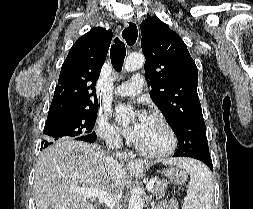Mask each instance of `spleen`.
Masks as SVG:
<instances>
[{"instance_id": "1", "label": "spleen", "mask_w": 253, "mask_h": 209, "mask_svg": "<svg viewBox=\"0 0 253 209\" xmlns=\"http://www.w3.org/2000/svg\"><path fill=\"white\" fill-rule=\"evenodd\" d=\"M163 164L179 166L190 175L182 209H212L213 180L211 172L203 163L189 158H170L163 161Z\"/></svg>"}]
</instances>
